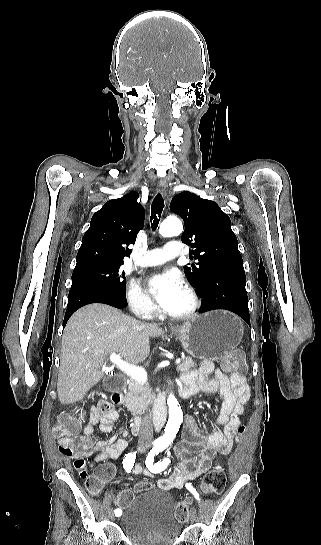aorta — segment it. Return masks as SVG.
Returning a JSON list of instances; mask_svg holds the SVG:
<instances>
[{
  "label": "aorta",
  "mask_w": 321,
  "mask_h": 545,
  "mask_svg": "<svg viewBox=\"0 0 321 545\" xmlns=\"http://www.w3.org/2000/svg\"><path fill=\"white\" fill-rule=\"evenodd\" d=\"M183 231V225L178 218H168L164 220L160 226L159 233L163 237L178 236ZM169 419L165 428L164 435L159 441L164 445H169L173 442L180 425L183 421V413L177 399L174 395L168 397Z\"/></svg>",
  "instance_id": "aorta-1"
}]
</instances>
